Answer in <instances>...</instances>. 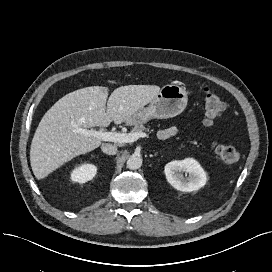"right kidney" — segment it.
<instances>
[{"instance_id":"obj_1","label":"right kidney","mask_w":272,"mask_h":272,"mask_svg":"<svg viewBox=\"0 0 272 272\" xmlns=\"http://www.w3.org/2000/svg\"><path fill=\"white\" fill-rule=\"evenodd\" d=\"M97 167L93 164H82L75 168L71 173V179L74 182L85 183L93 179L96 175Z\"/></svg>"}]
</instances>
